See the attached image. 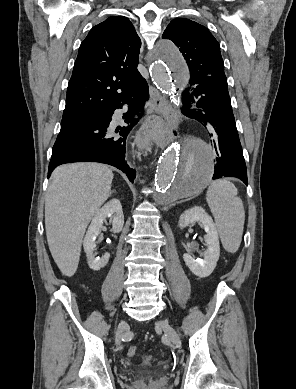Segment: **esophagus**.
<instances>
[{
	"mask_svg": "<svg viewBox=\"0 0 296 389\" xmlns=\"http://www.w3.org/2000/svg\"><path fill=\"white\" fill-rule=\"evenodd\" d=\"M150 107L154 112H151L147 122H142L139 125V131L133 134V141L135 147L139 151L147 149L148 144L152 141V133L154 131L165 130L169 126L170 117L173 116L166 99L159 93V91L150 86Z\"/></svg>",
	"mask_w": 296,
	"mask_h": 389,
	"instance_id": "obj_1",
	"label": "esophagus"
}]
</instances>
